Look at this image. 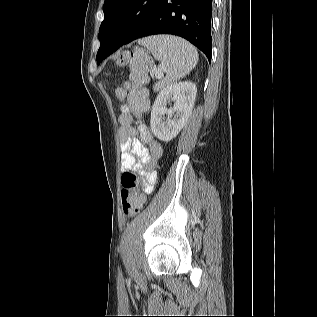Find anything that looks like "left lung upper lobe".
Returning <instances> with one entry per match:
<instances>
[{
	"label": "left lung upper lobe",
	"mask_w": 317,
	"mask_h": 317,
	"mask_svg": "<svg viewBox=\"0 0 317 317\" xmlns=\"http://www.w3.org/2000/svg\"><path fill=\"white\" fill-rule=\"evenodd\" d=\"M162 0H105L104 20L99 29L100 48L97 63L103 58V44L111 41L120 46L133 41L156 12Z\"/></svg>",
	"instance_id": "1"
}]
</instances>
